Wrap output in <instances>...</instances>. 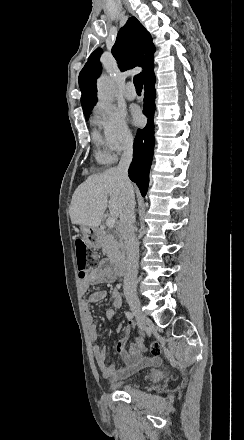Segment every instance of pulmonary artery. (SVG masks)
I'll use <instances>...</instances> for the list:
<instances>
[{
	"instance_id": "obj_1",
	"label": "pulmonary artery",
	"mask_w": 244,
	"mask_h": 440,
	"mask_svg": "<svg viewBox=\"0 0 244 440\" xmlns=\"http://www.w3.org/2000/svg\"><path fill=\"white\" fill-rule=\"evenodd\" d=\"M125 98L128 100H134L136 98V89H135V85L132 82H129L125 85Z\"/></svg>"
}]
</instances>
